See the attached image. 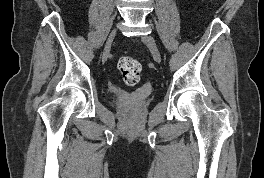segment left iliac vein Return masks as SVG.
<instances>
[{
  "instance_id": "left-iliac-vein-1",
  "label": "left iliac vein",
  "mask_w": 264,
  "mask_h": 178,
  "mask_svg": "<svg viewBox=\"0 0 264 178\" xmlns=\"http://www.w3.org/2000/svg\"><path fill=\"white\" fill-rule=\"evenodd\" d=\"M141 39H142V42L149 48L154 60L157 63H160L161 55H160L159 49L156 45L154 38L152 36H143Z\"/></svg>"
}]
</instances>
